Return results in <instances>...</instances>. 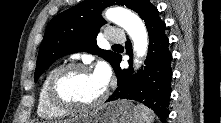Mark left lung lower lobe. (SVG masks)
Returning a JSON list of instances; mask_svg holds the SVG:
<instances>
[{
    "label": "left lung lower lobe",
    "mask_w": 221,
    "mask_h": 123,
    "mask_svg": "<svg viewBox=\"0 0 221 123\" xmlns=\"http://www.w3.org/2000/svg\"><path fill=\"white\" fill-rule=\"evenodd\" d=\"M139 16L144 20L149 34V49L145 67L136 74L130 69H121L119 55L112 65L117 76V88L108 101L131 99L142 102L153 109L162 122L169 115L171 95L172 54L169 51V40L165 35V22L158 15V10L148 2ZM127 53L132 56L131 44L126 43ZM132 66V60H129Z\"/></svg>",
    "instance_id": "1"
}]
</instances>
